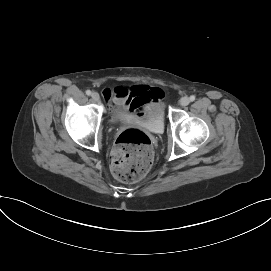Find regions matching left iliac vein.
Segmentation results:
<instances>
[{"label":"left iliac vein","mask_w":271,"mask_h":271,"mask_svg":"<svg viewBox=\"0 0 271 271\" xmlns=\"http://www.w3.org/2000/svg\"><path fill=\"white\" fill-rule=\"evenodd\" d=\"M181 106H187L190 103V99L188 97H182L179 101Z\"/></svg>","instance_id":"1"}]
</instances>
